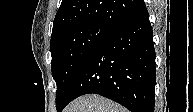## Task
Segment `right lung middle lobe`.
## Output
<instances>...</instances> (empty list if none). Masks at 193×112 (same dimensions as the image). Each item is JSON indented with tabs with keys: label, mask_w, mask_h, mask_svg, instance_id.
<instances>
[{
	"label": "right lung middle lobe",
	"mask_w": 193,
	"mask_h": 112,
	"mask_svg": "<svg viewBox=\"0 0 193 112\" xmlns=\"http://www.w3.org/2000/svg\"><path fill=\"white\" fill-rule=\"evenodd\" d=\"M112 29L97 24H78L51 37L52 76L57 84L56 108L63 106L80 67Z\"/></svg>",
	"instance_id": "right-lung-middle-lobe-1"
}]
</instances>
